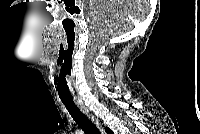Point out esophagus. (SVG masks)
Here are the masks:
<instances>
[{"label": "esophagus", "instance_id": "34e87169", "mask_svg": "<svg viewBox=\"0 0 200 134\" xmlns=\"http://www.w3.org/2000/svg\"><path fill=\"white\" fill-rule=\"evenodd\" d=\"M78 105L80 106V109L83 111V113H85L94 122V124L99 129L100 133L104 134L105 133L104 128L100 124L99 120L95 118L83 104H78Z\"/></svg>", "mask_w": 200, "mask_h": 134}]
</instances>
